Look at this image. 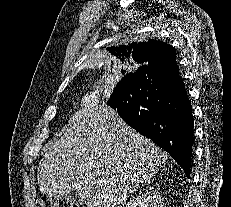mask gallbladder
Masks as SVG:
<instances>
[{
    "label": "gallbladder",
    "instance_id": "obj_1",
    "mask_svg": "<svg viewBox=\"0 0 231 207\" xmlns=\"http://www.w3.org/2000/svg\"><path fill=\"white\" fill-rule=\"evenodd\" d=\"M63 199L66 203H70L71 205H76L79 207V205L85 204V200L82 199L79 195L76 193H70L68 195H64Z\"/></svg>",
    "mask_w": 231,
    "mask_h": 207
}]
</instances>
